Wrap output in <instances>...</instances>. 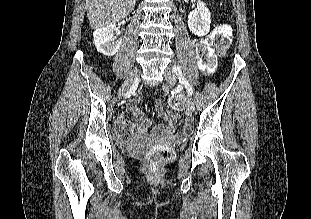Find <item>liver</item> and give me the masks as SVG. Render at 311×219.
<instances>
[{"label": "liver", "mask_w": 311, "mask_h": 219, "mask_svg": "<svg viewBox=\"0 0 311 219\" xmlns=\"http://www.w3.org/2000/svg\"><path fill=\"white\" fill-rule=\"evenodd\" d=\"M136 0H86L87 17L93 29L115 24L134 9Z\"/></svg>", "instance_id": "obj_1"}]
</instances>
